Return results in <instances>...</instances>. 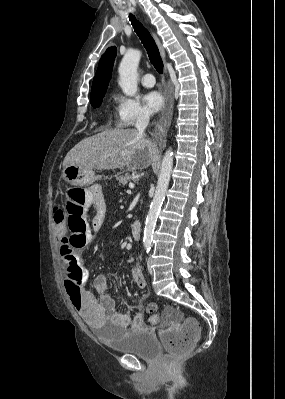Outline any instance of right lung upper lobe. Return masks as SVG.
I'll return each mask as SVG.
<instances>
[{
    "label": "right lung upper lobe",
    "instance_id": "right-lung-upper-lobe-1",
    "mask_svg": "<svg viewBox=\"0 0 285 399\" xmlns=\"http://www.w3.org/2000/svg\"><path fill=\"white\" fill-rule=\"evenodd\" d=\"M116 47H110L102 55L99 61V67L96 71L92 83L91 97L106 92L109 81L112 76V69L116 57Z\"/></svg>",
    "mask_w": 285,
    "mask_h": 399
}]
</instances>
